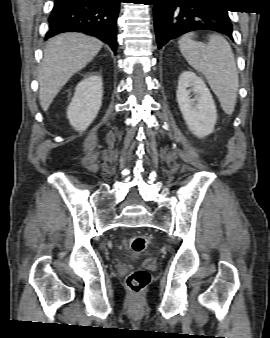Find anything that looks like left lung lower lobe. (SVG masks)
<instances>
[{
	"label": "left lung lower lobe",
	"instance_id": "1",
	"mask_svg": "<svg viewBox=\"0 0 270 338\" xmlns=\"http://www.w3.org/2000/svg\"><path fill=\"white\" fill-rule=\"evenodd\" d=\"M158 48L195 30H214L233 40L228 12L218 0H152Z\"/></svg>",
	"mask_w": 270,
	"mask_h": 338
}]
</instances>
